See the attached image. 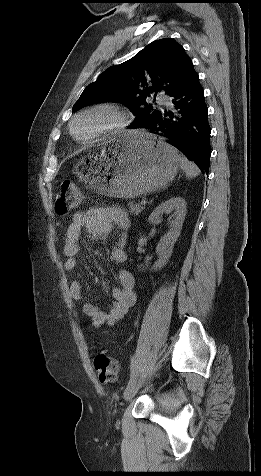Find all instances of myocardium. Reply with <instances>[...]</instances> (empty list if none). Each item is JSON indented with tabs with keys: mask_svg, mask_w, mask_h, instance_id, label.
I'll list each match as a JSON object with an SVG mask.
<instances>
[{
	"mask_svg": "<svg viewBox=\"0 0 261 476\" xmlns=\"http://www.w3.org/2000/svg\"><path fill=\"white\" fill-rule=\"evenodd\" d=\"M100 112L111 114L113 117L112 122L86 139L78 138L74 131L75 122L82 117ZM129 122L130 112L123 105L115 102H98L78 111L70 120L68 127L71 137L76 142L80 144H90L101 139L102 137L121 132L128 126Z\"/></svg>",
	"mask_w": 261,
	"mask_h": 476,
	"instance_id": "1",
	"label": "myocardium"
}]
</instances>
